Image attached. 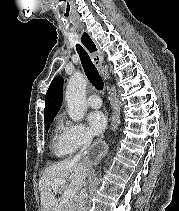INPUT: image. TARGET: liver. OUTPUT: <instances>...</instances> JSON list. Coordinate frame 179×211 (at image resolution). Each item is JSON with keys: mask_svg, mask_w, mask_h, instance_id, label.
<instances>
[{"mask_svg": "<svg viewBox=\"0 0 179 211\" xmlns=\"http://www.w3.org/2000/svg\"><path fill=\"white\" fill-rule=\"evenodd\" d=\"M89 173V167L79 159H67L46 168L39 180L42 211H61L60 200L56 198L57 188L53 183L64 179L66 186L76 191L80 190Z\"/></svg>", "mask_w": 179, "mask_h": 211, "instance_id": "liver-1", "label": "liver"}]
</instances>
